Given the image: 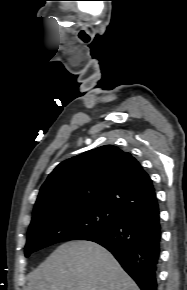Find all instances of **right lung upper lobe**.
<instances>
[{
    "label": "right lung upper lobe",
    "instance_id": "cb5924a9",
    "mask_svg": "<svg viewBox=\"0 0 187 290\" xmlns=\"http://www.w3.org/2000/svg\"><path fill=\"white\" fill-rule=\"evenodd\" d=\"M91 205L111 207L123 216L159 209L152 180L139 162L105 145L67 159L53 170L40 189L32 222Z\"/></svg>",
    "mask_w": 187,
    "mask_h": 290
}]
</instances>
